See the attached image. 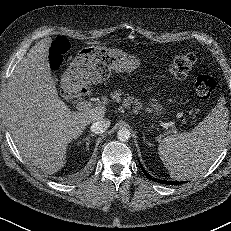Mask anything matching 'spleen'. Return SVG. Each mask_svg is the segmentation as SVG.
<instances>
[{"mask_svg":"<svg viewBox=\"0 0 231 231\" xmlns=\"http://www.w3.org/2000/svg\"><path fill=\"white\" fill-rule=\"evenodd\" d=\"M225 98L191 132L165 137L159 147V156L172 179L189 180L205 171L224 146L229 112Z\"/></svg>","mask_w":231,"mask_h":231,"instance_id":"3e777b00","label":"spleen"}]
</instances>
